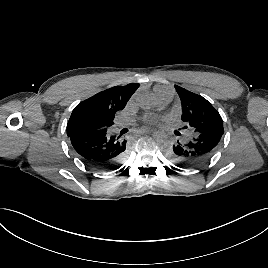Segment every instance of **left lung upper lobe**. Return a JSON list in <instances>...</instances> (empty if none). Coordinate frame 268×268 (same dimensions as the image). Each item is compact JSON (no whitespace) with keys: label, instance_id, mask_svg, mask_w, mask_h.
Wrapping results in <instances>:
<instances>
[{"label":"left lung upper lobe","instance_id":"1","mask_svg":"<svg viewBox=\"0 0 268 268\" xmlns=\"http://www.w3.org/2000/svg\"><path fill=\"white\" fill-rule=\"evenodd\" d=\"M182 104V121L193 134L205 132L224 133L223 120L218 111L200 95L175 85ZM185 126L184 128H187Z\"/></svg>","mask_w":268,"mask_h":268}]
</instances>
